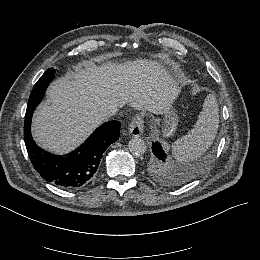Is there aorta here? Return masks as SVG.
<instances>
[{
	"mask_svg": "<svg viewBox=\"0 0 260 260\" xmlns=\"http://www.w3.org/2000/svg\"><path fill=\"white\" fill-rule=\"evenodd\" d=\"M128 149L132 154L140 156L146 152L147 146L143 139L135 137L129 141Z\"/></svg>",
	"mask_w": 260,
	"mask_h": 260,
	"instance_id": "762f6f07",
	"label": "aorta"
}]
</instances>
